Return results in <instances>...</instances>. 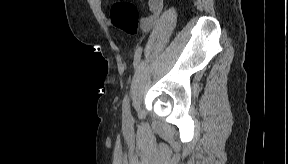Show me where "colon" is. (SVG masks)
<instances>
[{
  "label": "colon",
  "instance_id": "obj_1",
  "mask_svg": "<svg viewBox=\"0 0 288 164\" xmlns=\"http://www.w3.org/2000/svg\"><path fill=\"white\" fill-rule=\"evenodd\" d=\"M153 16L158 15L152 10ZM112 23L130 35L138 33L140 27V13L138 8L130 1L120 0L115 2L110 9Z\"/></svg>",
  "mask_w": 288,
  "mask_h": 164
}]
</instances>
